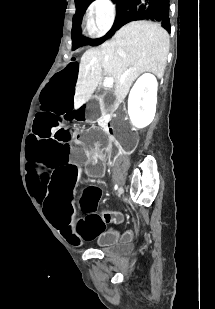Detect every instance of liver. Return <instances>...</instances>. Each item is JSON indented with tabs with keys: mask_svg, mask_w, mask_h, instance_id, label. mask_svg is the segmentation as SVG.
<instances>
[{
	"mask_svg": "<svg viewBox=\"0 0 215 309\" xmlns=\"http://www.w3.org/2000/svg\"><path fill=\"white\" fill-rule=\"evenodd\" d=\"M169 52V34L159 22L134 20L115 32L98 48H88L81 56L75 86L74 108L88 102L102 80L113 78L114 94L123 100L133 80L142 72L162 78Z\"/></svg>",
	"mask_w": 215,
	"mask_h": 309,
	"instance_id": "6515ba94",
	"label": "liver"
}]
</instances>
